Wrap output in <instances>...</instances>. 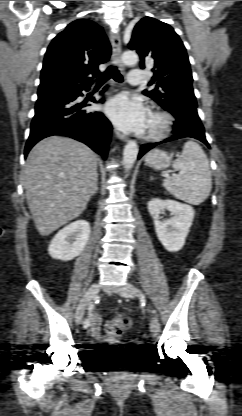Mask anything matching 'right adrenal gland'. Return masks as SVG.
<instances>
[{
    "mask_svg": "<svg viewBox=\"0 0 242 416\" xmlns=\"http://www.w3.org/2000/svg\"><path fill=\"white\" fill-rule=\"evenodd\" d=\"M97 191H98V185H97V183H96V184H95V188H94L93 195H94Z\"/></svg>",
    "mask_w": 242,
    "mask_h": 416,
    "instance_id": "2a0ac1e0",
    "label": "right adrenal gland"
}]
</instances>
